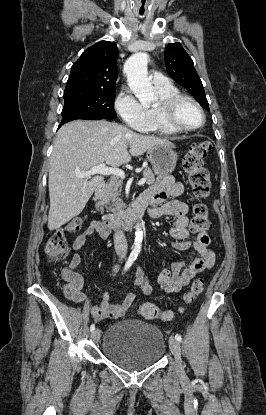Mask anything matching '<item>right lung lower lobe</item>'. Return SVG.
<instances>
[{
    "instance_id": "1",
    "label": "right lung lower lobe",
    "mask_w": 266,
    "mask_h": 415,
    "mask_svg": "<svg viewBox=\"0 0 266 415\" xmlns=\"http://www.w3.org/2000/svg\"><path fill=\"white\" fill-rule=\"evenodd\" d=\"M75 119H80V118H73V117H65V118H62V121H61L59 127L61 125L65 124V123H67L69 121H72V120H75ZM93 119H102V118H90V119H85V120H93Z\"/></svg>"
}]
</instances>
